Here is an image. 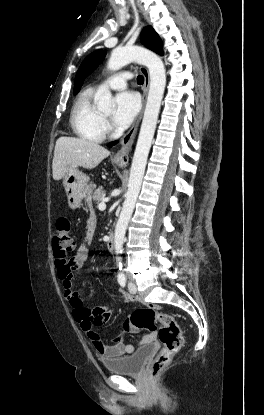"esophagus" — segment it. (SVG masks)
Here are the masks:
<instances>
[{
    "label": "esophagus",
    "instance_id": "1",
    "mask_svg": "<svg viewBox=\"0 0 264 415\" xmlns=\"http://www.w3.org/2000/svg\"><path fill=\"white\" fill-rule=\"evenodd\" d=\"M140 71L144 77V85H143V94H142V109L139 112V114L136 116L131 128L129 131L122 137L121 139V147L120 149L115 153L113 156V161L121 163V164H127L129 161V152L131 150L132 144L134 142V139L136 137L140 121L142 119L147 93L149 90V84H150V77L148 69L145 66L140 67Z\"/></svg>",
    "mask_w": 264,
    "mask_h": 415
}]
</instances>
